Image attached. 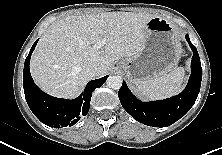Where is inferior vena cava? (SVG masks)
Wrapping results in <instances>:
<instances>
[{
	"instance_id": "602c4592",
	"label": "inferior vena cava",
	"mask_w": 222,
	"mask_h": 155,
	"mask_svg": "<svg viewBox=\"0 0 222 155\" xmlns=\"http://www.w3.org/2000/svg\"><path fill=\"white\" fill-rule=\"evenodd\" d=\"M85 71L90 78L99 77L101 73V68L98 64L93 63L88 65Z\"/></svg>"
}]
</instances>
